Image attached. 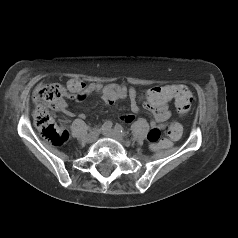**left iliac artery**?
I'll return each instance as SVG.
<instances>
[{
  "label": "left iliac artery",
  "instance_id": "left-iliac-artery-1",
  "mask_svg": "<svg viewBox=\"0 0 238 238\" xmlns=\"http://www.w3.org/2000/svg\"><path fill=\"white\" fill-rule=\"evenodd\" d=\"M115 130L120 132V133H124V129L120 124L115 125Z\"/></svg>",
  "mask_w": 238,
  "mask_h": 238
}]
</instances>
